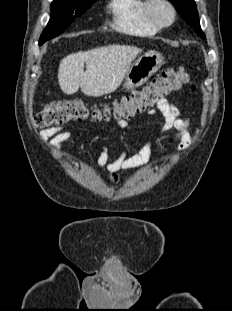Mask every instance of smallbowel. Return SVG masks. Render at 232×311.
Listing matches in <instances>:
<instances>
[{"instance_id": "c3829d8e", "label": "small bowel", "mask_w": 232, "mask_h": 311, "mask_svg": "<svg viewBox=\"0 0 232 311\" xmlns=\"http://www.w3.org/2000/svg\"><path fill=\"white\" fill-rule=\"evenodd\" d=\"M150 115H161L163 118L162 132L168 133L171 131L175 132L173 141L178 143L180 147L187 144L189 135V121L182 118L178 108L168 101L162 99L159 101L155 108L149 110ZM117 125L121 129H125L128 123L125 120H118ZM72 132L64 130L61 127L49 128L41 133V139L48 142L50 148L60 156H64L63 143L72 137ZM152 138L147 137L145 145L140 151L132 156H129L125 150L121 151L119 155L112 161L109 162V153L106 148L99 154L97 162L92 166L94 169H106L110 173L111 181L114 184L120 182V177L117 174L120 170L131 169L146 163L150 156Z\"/></svg>"}]
</instances>
